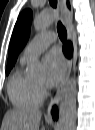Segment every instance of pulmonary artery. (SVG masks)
Here are the masks:
<instances>
[{
    "label": "pulmonary artery",
    "instance_id": "pulmonary-artery-1",
    "mask_svg": "<svg viewBox=\"0 0 95 130\" xmlns=\"http://www.w3.org/2000/svg\"><path fill=\"white\" fill-rule=\"evenodd\" d=\"M56 40V36L53 32L47 31L36 35L24 49L21 59L29 60L38 56L45 51L52 42Z\"/></svg>",
    "mask_w": 95,
    "mask_h": 130
}]
</instances>
